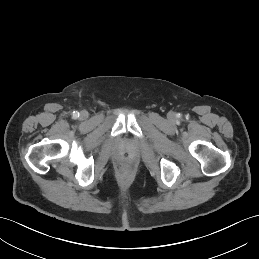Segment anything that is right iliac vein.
<instances>
[{"instance_id":"63e3f726","label":"right iliac vein","mask_w":259,"mask_h":259,"mask_svg":"<svg viewBox=\"0 0 259 259\" xmlns=\"http://www.w3.org/2000/svg\"><path fill=\"white\" fill-rule=\"evenodd\" d=\"M80 117H81V118H86V117H87V113H86L85 111H82V112L80 113Z\"/></svg>"}]
</instances>
